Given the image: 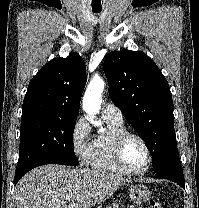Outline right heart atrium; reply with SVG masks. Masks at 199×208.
I'll list each match as a JSON object with an SVG mask.
<instances>
[{
    "label": "right heart atrium",
    "mask_w": 199,
    "mask_h": 208,
    "mask_svg": "<svg viewBox=\"0 0 199 208\" xmlns=\"http://www.w3.org/2000/svg\"><path fill=\"white\" fill-rule=\"evenodd\" d=\"M71 145L80 163H88L93 149V140L90 125L84 117H79L72 126Z\"/></svg>",
    "instance_id": "1"
}]
</instances>
